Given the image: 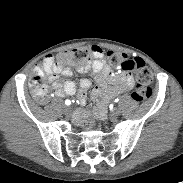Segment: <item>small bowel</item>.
I'll return each mask as SVG.
<instances>
[{
	"instance_id": "small-bowel-1",
	"label": "small bowel",
	"mask_w": 183,
	"mask_h": 183,
	"mask_svg": "<svg viewBox=\"0 0 183 183\" xmlns=\"http://www.w3.org/2000/svg\"><path fill=\"white\" fill-rule=\"evenodd\" d=\"M90 49L93 56L91 64L86 67H78L77 71L83 73L91 70L95 74V80L98 85L93 93L95 98L104 95L105 99H110L133 88L134 78L131 72L113 73L105 61L102 49L96 45H92ZM44 72L50 76V82L56 89L57 95H73L76 92V83L74 81H66L63 85L59 82L61 74L64 76L72 74L70 68L61 67L53 61L52 57H49L45 61ZM90 87L91 81L88 78L81 79L77 93L80 104L85 103L86 92Z\"/></svg>"
}]
</instances>
